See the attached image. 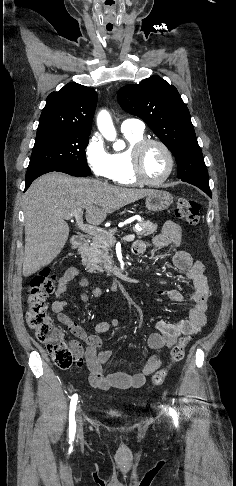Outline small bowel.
<instances>
[{"label": "small bowel", "mask_w": 236, "mask_h": 486, "mask_svg": "<svg viewBox=\"0 0 236 486\" xmlns=\"http://www.w3.org/2000/svg\"><path fill=\"white\" fill-rule=\"evenodd\" d=\"M182 240L180 226L172 221H167L159 234L151 242L137 241L134 243L133 251L141 254L149 246L162 248L168 245L179 246ZM175 267L185 272L194 285V291L190 297L193 303L192 308L188 311L185 319L171 322L162 320L156 325L157 331L148 337V346L154 351L163 348L170 349L174 346L181 335L194 334L199 331L206 321L207 303L211 297V290L204 274V264L201 261L194 260L191 255L183 250H179L173 256ZM79 274L75 267L68 268L59 278L55 291V300L51 305L52 311L56 314L57 320L66 326L70 332L82 341H71V347L74 352L77 367L81 368L84 364L89 370V383L93 388L100 390L110 389H129L140 388L144 385L146 378L160 368L164 361L156 354H152L133 374L124 372L104 373L103 365L111 358L112 351L103 348V342L99 334L106 333L110 329L118 326L119 320L102 321L95 325L94 333H88L82 326L71 319L64 313L68 302L62 299V296L68 290L69 284ZM82 287L87 286V280L80 281ZM92 293L95 296L102 295L101 289H94ZM157 295H164L174 302L185 300L184 295L177 289L157 290ZM89 296L87 292L81 294L82 302H87Z\"/></svg>", "instance_id": "small-bowel-1"}]
</instances>
